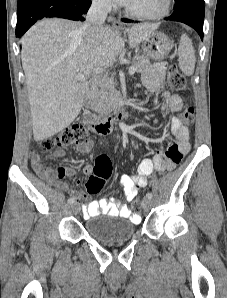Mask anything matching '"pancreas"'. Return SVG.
Listing matches in <instances>:
<instances>
[{
    "label": "pancreas",
    "instance_id": "pancreas-1",
    "mask_svg": "<svg viewBox=\"0 0 227 298\" xmlns=\"http://www.w3.org/2000/svg\"><path fill=\"white\" fill-rule=\"evenodd\" d=\"M132 66L136 68L138 73H144L150 69L151 64L149 58L145 55H137L132 61ZM96 104L94 110L98 114H109L115 110L122 98L119 91L115 88V83L111 79H103L99 83V89L95 96Z\"/></svg>",
    "mask_w": 227,
    "mask_h": 298
}]
</instances>
